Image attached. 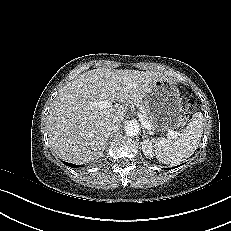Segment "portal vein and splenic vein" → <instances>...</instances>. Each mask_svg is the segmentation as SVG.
Returning a JSON list of instances; mask_svg holds the SVG:
<instances>
[{"mask_svg":"<svg viewBox=\"0 0 231 231\" xmlns=\"http://www.w3.org/2000/svg\"><path fill=\"white\" fill-rule=\"evenodd\" d=\"M91 104H92L93 107H96V108H99V109H104V108L109 107L111 103H110L109 101H93V102H91ZM138 115H139V119H140V121H141V124H142L145 128L149 129L150 126H149V124L145 121V116L142 115L141 113H139ZM169 134H170V135H177L178 133H177V131H172V130H170V131H169Z\"/></svg>","mask_w":231,"mask_h":231,"instance_id":"18ae733b","label":"portal vein and splenic vein"}]
</instances>
